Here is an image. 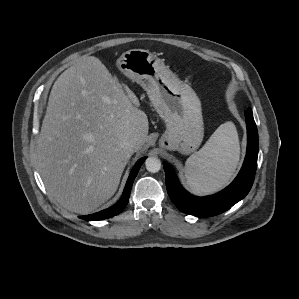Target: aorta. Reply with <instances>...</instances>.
Returning a JSON list of instances; mask_svg holds the SVG:
<instances>
[{
    "mask_svg": "<svg viewBox=\"0 0 299 299\" xmlns=\"http://www.w3.org/2000/svg\"><path fill=\"white\" fill-rule=\"evenodd\" d=\"M146 169L151 173H156L161 169V161L158 157H148L145 161Z\"/></svg>",
    "mask_w": 299,
    "mask_h": 299,
    "instance_id": "1",
    "label": "aorta"
}]
</instances>
